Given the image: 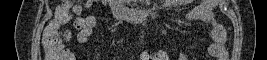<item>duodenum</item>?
Masks as SVG:
<instances>
[{
  "label": "duodenum",
  "instance_id": "410a0bca",
  "mask_svg": "<svg viewBox=\"0 0 267 60\" xmlns=\"http://www.w3.org/2000/svg\"><path fill=\"white\" fill-rule=\"evenodd\" d=\"M113 15L117 19H128L131 21H139L153 15V11L149 9L131 8L126 6L120 0L109 1Z\"/></svg>",
  "mask_w": 267,
  "mask_h": 60
}]
</instances>
